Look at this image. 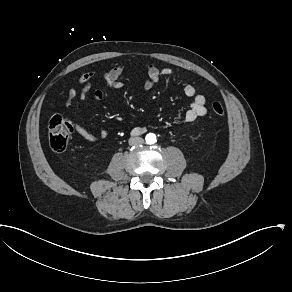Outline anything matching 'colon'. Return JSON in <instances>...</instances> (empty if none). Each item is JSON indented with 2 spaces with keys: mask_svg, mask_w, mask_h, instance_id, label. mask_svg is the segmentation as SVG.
<instances>
[{
  "mask_svg": "<svg viewBox=\"0 0 292 292\" xmlns=\"http://www.w3.org/2000/svg\"><path fill=\"white\" fill-rule=\"evenodd\" d=\"M210 108L216 116L223 117L225 114L224 107L219 101H212ZM73 131V124L68 119L58 113L52 115L48 131V143L52 151L55 153L64 152Z\"/></svg>",
  "mask_w": 292,
  "mask_h": 292,
  "instance_id": "obj_1",
  "label": "colon"
}]
</instances>
